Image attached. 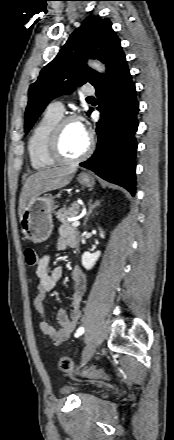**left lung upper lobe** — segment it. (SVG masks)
<instances>
[{"instance_id": "1", "label": "left lung upper lobe", "mask_w": 174, "mask_h": 440, "mask_svg": "<svg viewBox=\"0 0 174 440\" xmlns=\"http://www.w3.org/2000/svg\"><path fill=\"white\" fill-rule=\"evenodd\" d=\"M122 51L120 39L109 19L86 18L68 38L58 55L46 65L29 88L25 111L27 133L46 105L54 98L71 93L76 86L100 80L101 74L86 65V58H97L108 66Z\"/></svg>"}]
</instances>
